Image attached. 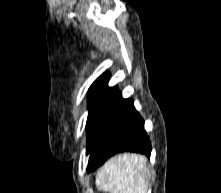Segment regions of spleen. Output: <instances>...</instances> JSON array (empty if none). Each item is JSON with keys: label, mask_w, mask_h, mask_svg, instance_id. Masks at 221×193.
Here are the masks:
<instances>
[{"label": "spleen", "mask_w": 221, "mask_h": 193, "mask_svg": "<svg viewBox=\"0 0 221 193\" xmlns=\"http://www.w3.org/2000/svg\"><path fill=\"white\" fill-rule=\"evenodd\" d=\"M146 159L138 154H122L110 159L96 177L98 190L109 193H146Z\"/></svg>", "instance_id": "3e777b00"}]
</instances>
